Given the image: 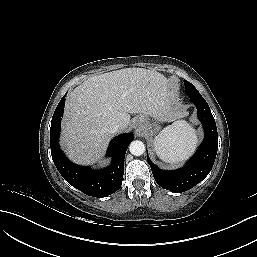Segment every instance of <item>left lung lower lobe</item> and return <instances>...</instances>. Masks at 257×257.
I'll return each mask as SVG.
<instances>
[{
  "instance_id": "0a47b994",
  "label": "left lung lower lobe",
  "mask_w": 257,
  "mask_h": 257,
  "mask_svg": "<svg viewBox=\"0 0 257 257\" xmlns=\"http://www.w3.org/2000/svg\"><path fill=\"white\" fill-rule=\"evenodd\" d=\"M198 110L205 138L194 156L186 165L177 170L159 169L148 158L155 181L164 189L180 193L201 182L211 171L218 150V134L215 119L204 98L190 97Z\"/></svg>"
}]
</instances>
